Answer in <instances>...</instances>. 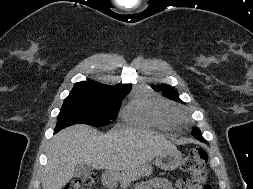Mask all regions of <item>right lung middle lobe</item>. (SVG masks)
<instances>
[{
	"label": "right lung middle lobe",
	"mask_w": 253,
	"mask_h": 189,
	"mask_svg": "<svg viewBox=\"0 0 253 189\" xmlns=\"http://www.w3.org/2000/svg\"><path fill=\"white\" fill-rule=\"evenodd\" d=\"M124 91H95L74 92L64 100L57 117L55 130L59 131L72 124H87L106 126L110 120H115L122 99L130 92Z\"/></svg>",
	"instance_id": "dd1d6c3e"
}]
</instances>
